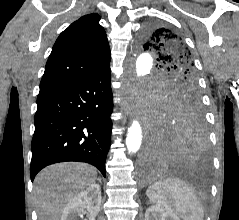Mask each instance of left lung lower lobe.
I'll use <instances>...</instances> for the list:
<instances>
[{
	"label": "left lung lower lobe",
	"instance_id": "obj_1",
	"mask_svg": "<svg viewBox=\"0 0 239 220\" xmlns=\"http://www.w3.org/2000/svg\"><path fill=\"white\" fill-rule=\"evenodd\" d=\"M207 150L202 112L195 109L173 112L161 109L153 120L140 168L146 174H153L173 164L199 163L206 159Z\"/></svg>",
	"mask_w": 239,
	"mask_h": 220
}]
</instances>
